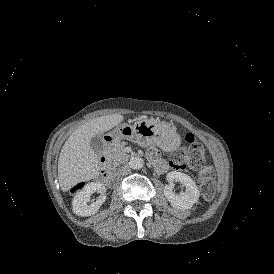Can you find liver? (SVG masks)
Returning <instances> with one entry per match:
<instances>
[{"instance_id": "6515ba94", "label": "liver", "mask_w": 274, "mask_h": 274, "mask_svg": "<svg viewBox=\"0 0 274 274\" xmlns=\"http://www.w3.org/2000/svg\"><path fill=\"white\" fill-rule=\"evenodd\" d=\"M121 120L122 116L119 114L106 115L95 118L72 132L62 147L58 161V179L63 191L96 177L99 158L89 141L94 135L112 128Z\"/></svg>"}]
</instances>
